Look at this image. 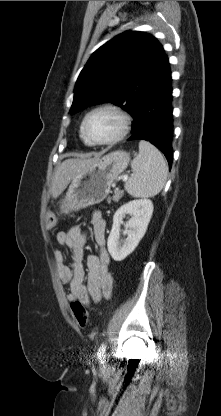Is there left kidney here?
<instances>
[{
  "mask_svg": "<svg viewBox=\"0 0 221 416\" xmlns=\"http://www.w3.org/2000/svg\"><path fill=\"white\" fill-rule=\"evenodd\" d=\"M153 213V204L149 199L130 201L122 205L113 216V225L108 237V251L115 261L124 260L138 246L144 237ZM126 214L132 215L125 224L127 238L120 240V226Z\"/></svg>",
  "mask_w": 221,
  "mask_h": 416,
  "instance_id": "left-kidney-1",
  "label": "left kidney"
}]
</instances>
